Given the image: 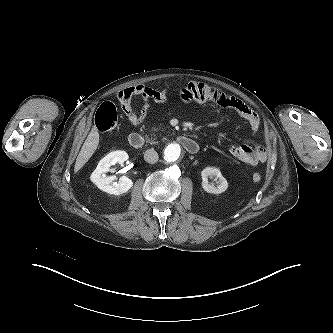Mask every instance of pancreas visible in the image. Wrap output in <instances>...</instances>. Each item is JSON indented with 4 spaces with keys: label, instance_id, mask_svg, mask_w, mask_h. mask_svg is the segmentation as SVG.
Segmentation results:
<instances>
[{
    "label": "pancreas",
    "instance_id": "1",
    "mask_svg": "<svg viewBox=\"0 0 333 333\" xmlns=\"http://www.w3.org/2000/svg\"><path fill=\"white\" fill-rule=\"evenodd\" d=\"M154 132H155V130H154ZM154 136H155V135H154V134H152V138H151V139H155V138H154ZM148 140H149V139H148Z\"/></svg>",
    "mask_w": 333,
    "mask_h": 333
}]
</instances>
